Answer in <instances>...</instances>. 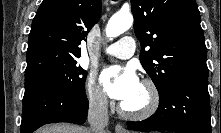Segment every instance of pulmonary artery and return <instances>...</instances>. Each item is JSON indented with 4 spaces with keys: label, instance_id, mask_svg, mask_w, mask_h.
I'll use <instances>...</instances> for the list:
<instances>
[{
    "label": "pulmonary artery",
    "instance_id": "1",
    "mask_svg": "<svg viewBox=\"0 0 221 133\" xmlns=\"http://www.w3.org/2000/svg\"><path fill=\"white\" fill-rule=\"evenodd\" d=\"M134 50L135 41L131 37L125 36L120 41L108 46L105 52L111 56L128 59L133 55Z\"/></svg>",
    "mask_w": 221,
    "mask_h": 133
}]
</instances>
